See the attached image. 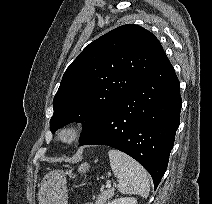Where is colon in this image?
Segmentation results:
<instances>
[{"mask_svg": "<svg viewBox=\"0 0 212 204\" xmlns=\"http://www.w3.org/2000/svg\"><path fill=\"white\" fill-rule=\"evenodd\" d=\"M88 168H89V164L84 163L80 166L79 171L82 173V172H85Z\"/></svg>", "mask_w": 212, "mask_h": 204, "instance_id": "colon-1", "label": "colon"}]
</instances>
